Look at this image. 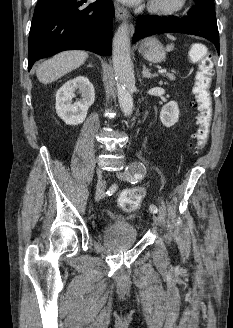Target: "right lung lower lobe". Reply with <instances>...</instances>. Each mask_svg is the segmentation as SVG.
<instances>
[{"label":"right lung lower lobe","mask_w":233,"mask_h":328,"mask_svg":"<svg viewBox=\"0 0 233 328\" xmlns=\"http://www.w3.org/2000/svg\"><path fill=\"white\" fill-rule=\"evenodd\" d=\"M83 1L38 0L29 33L28 70L38 59L63 50L111 54L113 3Z\"/></svg>","instance_id":"98d812e1"}]
</instances>
